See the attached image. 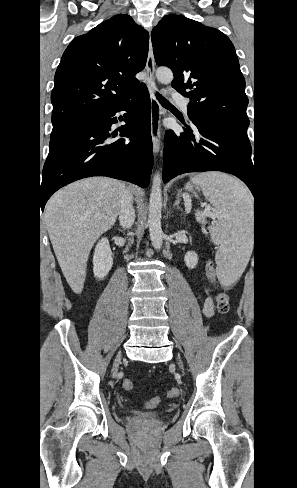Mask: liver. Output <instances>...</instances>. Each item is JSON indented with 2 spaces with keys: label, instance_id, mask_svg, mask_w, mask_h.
<instances>
[{
  "label": "liver",
  "instance_id": "6515ba94",
  "mask_svg": "<svg viewBox=\"0 0 297 488\" xmlns=\"http://www.w3.org/2000/svg\"><path fill=\"white\" fill-rule=\"evenodd\" d=\"M125 192L121 181L91 177L62 188L46 205L49 237L64 277L75 293L83 290L90 250L115 224Z\"/></svg>",
  "mask_w": 297,
  "mask_h": 488
}]
</instances>
